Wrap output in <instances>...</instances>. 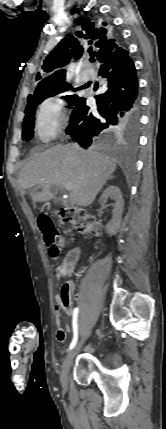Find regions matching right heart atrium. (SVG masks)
<instances>
[{"mask_svg": "<svg viewBox=\"0 0 166 429\" xmlns=\"http://www.w3.org/2000/svg\"><path fill=\"white\" fill-rule=\"evenodd\" d=\"M66 106L64 100L58 96L45 99L36 114V132L42 140L54 138L66 122Z\"/></svg>", "mask_w": 166, "mask_h": 429, "instance_id": "d8ad5b80", "label": "right heart atrium"}]
</instances>
